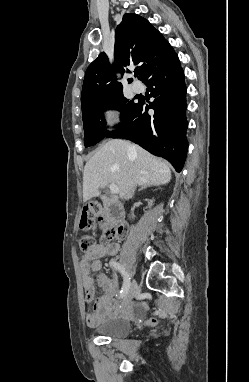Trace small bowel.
Returning a JSON list of instances; mask_svg holds the SVG:
<instances>
[{
    "label": "small bowel",
    "instance_id": "1",
    "mask_svg": "<svg viewBox=\"0 0 249 382\" xmlns=\"http://www.w3.org/2000/svg\"><path fill=\"white\" fill-rule=\"evenodd\" d=\"M120 251L118 243H112L107 246L95 244L94 247L85 252L79 260V269L81 280L87 304L94 301L95 287L91 276L92 271H99L102 268V259L106 255H116ZM98 285L103 289V294L97 298L91 309L87 312L86 323L88 326H95L104 319L112 315L127 316L134 314L139 306L133 303L119 304L116 301L118 294V285L115 278H110L104 273L97 277Z\"/></svg>",
    "mask_w": 249,
    "mask_h": 382
}]
</instances>
